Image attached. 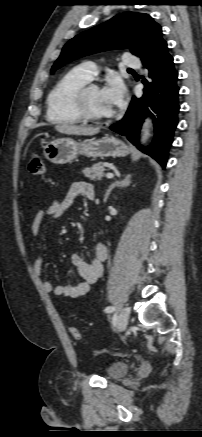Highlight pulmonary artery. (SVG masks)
<instances>
[{"label":"pulmonary artery","mask_w":202,"mask_h":437,"mask_svg":"<svg viewBox=\"0 0 202 437\" xmlns=\"http://www.w3.org/2000/svg\"><path fill=\"white\" fill-rule=\"evenodd\" d=\"M123 64L127 68H139L140 61L137 57L131 55H125L123 58ZM82 72L89 78L92 79L97 74V68L92 62H86L79 67Z\"/></svg>","instance_id":"pulmonary-artery-1"}]
</instances>
